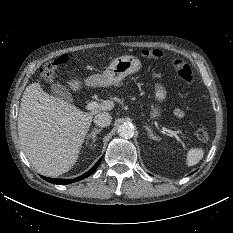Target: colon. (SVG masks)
Wrapping results in <instances>:
<instances>
[{
	"label": "colon",
	"instance_id": "5ec220e1",
	"mask_svg": "<svg viewBox=\"0 0 233 233\" xmlns=\"http://www.w3.org/2000/svg\"><path fill=\"white\" fill-rule=\"evenodd\" d=\"M142 55L145 58L158 59L164 56V52L160 49H144L142 50ZM68 62L67 55H60L55 59L45 63L41 69L40 73L43 78L51 79L55 68L62 66ZM172 65L177 70L178 76L188 84H192L195 80V74L192 68L186 64L182 59L175 58L172 61ZM196 136L200 141H207L209 138L208 132L204 128H198L196 131Z\"/></svg>",
	"mask_w": 233,
	"mask_h": 233
}]
</instances>
